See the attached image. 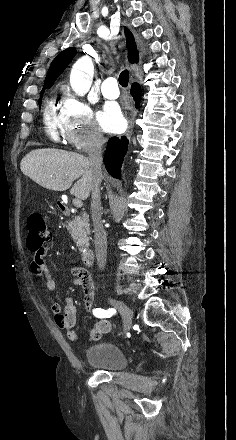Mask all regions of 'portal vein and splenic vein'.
<instances>
[{"label": "portal vein and splenic vein", "instance_id": "obj_1", "mask_svg": "<svg viewBox=\"0 0 236 440\" xmlns=\"http://www.w3.org/2000/svg\"><path fill=\"white\" fill-rule=\"evenodd\" d=\"M75 207L80 208L83 206V203L80 198L76 197L72 200Z\"/></svg>", "mask_w": 236, "mask_h": 440}]
</instances>
